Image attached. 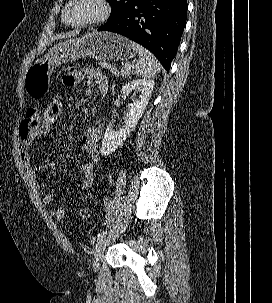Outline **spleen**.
Instances as JSON below:
<instances>
[{
    "mask_svg": "<svg viewBox=\"0 0 272 303\" xmlns=\"http://www.w3.org/2000/svg\"><path fill=\"white\" fill-rule=\"evenodd\" d=\"M132 48L136 51L140 59L137 61L134 67V74L142 78H153L160 71V63L155 56L150 53L147 49L140 46L135 42H131Z\"/></svg>",
    "mask_w": 272,
    "mask_h": 303,
    "instance_id": "3e777b00",
    "label": "spleen"
}]
</instances>
